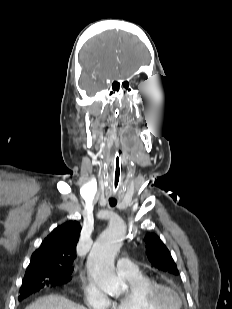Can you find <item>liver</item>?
I'll use <instances>...</instances> for the list:
<instances>
[{
    "label": "liver",
    "instance_id": "1",
    "mask_svg": "<svg viewBox=\"0 0 232 309\" xmlns=\"http://www.w3.org/2000/svg\"><path fill=\"white\" fill-rule=\"evenodd\" d=\"M25 309H87L84 306L76 304L64 296L50 294L42 297Z\"/></svg>",
    "mask_w": 232,
    "mask_h": 309
}]
</instances>
